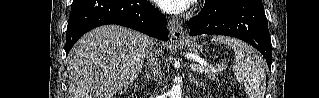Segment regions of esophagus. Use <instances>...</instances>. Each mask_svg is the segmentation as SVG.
Listing matches in <instances>:
<instances>
[{
    "label": "esophagus",
    "mask_w": 319,
    "mask_h": 98,
    "mask_svg": "<svg viewBox=\"0 0 319 98\" xmlns=\"http://www.w3.org/2000/svg\"><path fill=\"white\" fill-rule=\"evenodd\" d=\"M168 30L170 33V40L172 43L182 42L185 38V33L181 23L178 19L172 18L168 22Z\"/></svg>",
    "instance_id": "esophagus-1"
}]
</instances>
